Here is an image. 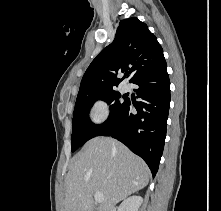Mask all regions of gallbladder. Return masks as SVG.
Wrapping results in <instances>:
<instances>
[{
	"instance_id": "bac80fb5",
	"label": "gallbladder",
	"mask_w": 221,
	"mask_h": 211,
	"mask_svg": "<svg viewBox=\"0 0 221 211\" xmlns=\"http://www.w3.org/2000/svg\"><path fill=\"white\" fill-rule=\"evenodd\" d=\"M93 211H98V209H97V208H95Z\"/></svg>"
}]
</instances>
